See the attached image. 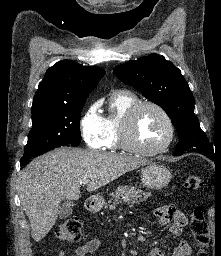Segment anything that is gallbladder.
Here are the masks:
<instances>
[{
    "label": "gallbladder",
    "mask_w": 221,
    "mask_h": 256,
    "mask_svg": "<svg viewBox=\"0 0 221 256\" xmlns=\"http://www.w3.org/2000/svg\"><path fill=\"white\" fill-rule=\"evenodd\" d=\"M74 203L72 201H66L59 207L58 217L65 219L69 217L73 212Z\"/></svg>",
    "instance_id": "1"
}]
</instances>
